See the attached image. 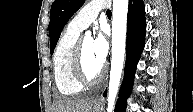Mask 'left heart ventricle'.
Listing matches in <instances>:
<instances>
[{
	"mask_svg": "<svg viewBox=\"0 0 193 112\" xmlns=\"http://www.w3.org/2000/svg\"><path fill=\"white\" fill-rule=\"evenodd\" d=\"M83 65L88 76L95 77L101 71L103 65L96 59L93 52V40L85 38L82 41Z\"/></svg>",
	"mask_w": 193,
	"mask_h": 112,
	"instance_id": "obj_1",
	"label": "left heart ventricle"
}]
</instances>
